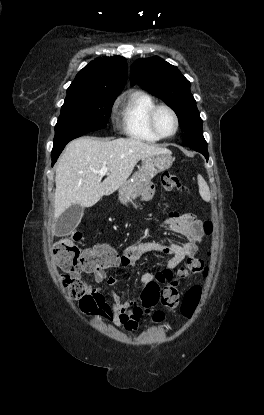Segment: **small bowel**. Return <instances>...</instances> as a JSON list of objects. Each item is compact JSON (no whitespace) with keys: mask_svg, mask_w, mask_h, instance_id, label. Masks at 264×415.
Masks as SVG:
<instances>
[{"mask_svg":"<svg viewBox=\"0 0 264 415\" xmlns=\"http://www.w3.org/2000/svg\"><path fill=\"white\" fill-rule=\"evenodd\" d=\"M163 225L167 229L184 236L187 242L183 244L169 242L167 245H163L156 241H146L129 245L124 248L119 265L122 268H132L140 257L155 252L169 255L165 268L166 270H173L185 259L194 257L203 239L201 221L191 216L181 217L175 212H170ZM107 268H86L84 272L92 273L95 282L102 283L105 281L108 288H113L117 280L113 277H107ZM155 280L156 274L152 272H146L140 278L143 286ZM87 289L98 305L97 313L99 315L112 321L116 327L124 328L128 332H134L139 328V321L144 310L140 303L124 302L119 295L112 293V303L109 304L102 290L94 289L91 285H88Z\"/></svg>","mask_w":264,"mask_h":415,"instance_id":"c3829d8e","label":"small bowel"}]
</instances>
